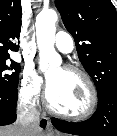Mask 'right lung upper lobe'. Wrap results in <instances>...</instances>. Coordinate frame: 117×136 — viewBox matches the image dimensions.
<instances>
[{
	"label": "right lung upper lobe",
	"mask_w": 117,
	"mask_h": 136,
	"mask_svg": "<svg viewBox=\"0 0 117 136\" xmlns=\"http://www.w3.org/2000/svg\"><path fill=\"white\" fill-rule=\"evenodd\" d=\"M21 17V0H0V57L18 51Z\"/></svg>",
	"instance_id": "obj_1"
}]
</instances>
